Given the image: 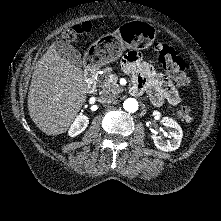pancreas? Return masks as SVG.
<instances>
[{
    "mask_svg": "<svg viewBox=\"0 0 221 221\" xmlns=\"http://www.w3.org/2000/svg\"><path fill=\"white\" fill-rule=\"evenodd\" d=\"M112 71L110 67H105L103 69L101 78L99 79L100 87L104 92L119 93L122 91V88L117 84V81H110Z\"/></svg>",
    "mask_w": 221,
    "mask_h": 221,
    "instance_id": "obj_1",
    "label": "pancreas"
}]
</instances>
